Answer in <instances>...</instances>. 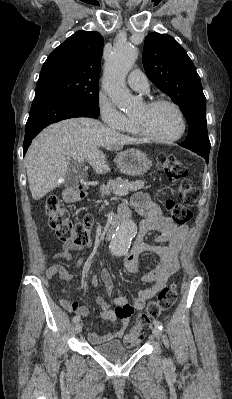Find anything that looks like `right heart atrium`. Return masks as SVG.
<instances>
[{"mask_svg":"<svg viewBox=\"0 0 232 399\" xmlns=\"http://www.w3.org/2000/svg\"><path fill=\"white\" fill-rule=\"evenodd\" d=\"M99 114L105 125H113V131L121 130L129 121L122 113L109 105H99Z\"/></svg>","mask_w":232,"mask_h":399,"instance_id":"d8ad5b80","label":"right heart atrium"}]
</instances>
